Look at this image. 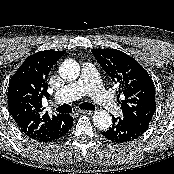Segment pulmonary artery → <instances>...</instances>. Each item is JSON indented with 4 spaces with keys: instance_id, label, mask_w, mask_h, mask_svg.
Wrapping results in <instances>:
<instances>
[{
    "instance_id": "obj_1",
    "label": "pulmonary artery",
    "mask_w": 174,
    "mask_h": 174,
    "mask_svg": "<svg viewBox=\"0 0 174 174\" xmlns=\"http://www.w3.org/2000/svg\"><path fill=\"white\" fill-rule=\"evenodd\" d=\"M90 95L92 99L107 111L116 113L118 106L110 93L104 89L99 74L92 63H85L80 78L59 89L55 94L58 103H66Z\"/></svg>"
}]
</instances>
